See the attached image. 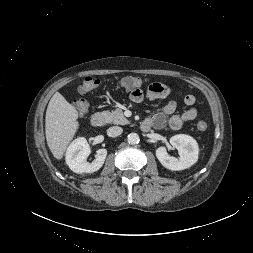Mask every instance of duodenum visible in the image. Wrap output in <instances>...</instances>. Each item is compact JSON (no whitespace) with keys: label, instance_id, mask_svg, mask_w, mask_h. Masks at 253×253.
Segmentation results:
<instances>
[{"label":"duodenum","instance_id":"410a0bca","mask_svg":"<svg viewBox=\"0 0 253 253\" xmlns=\"http://www.w3.org/2000/svg\"><path fill=\"white\" fill-rule=\"evenodd\" d=\"M105 124V118L101 113H95L91 118V125L95 128H101ZM151 125L149 122L144 121L141 124V129L143 131H148L150 129Z\"/></svg>","mask_w":253,"mask_h":253}]
</instances>
